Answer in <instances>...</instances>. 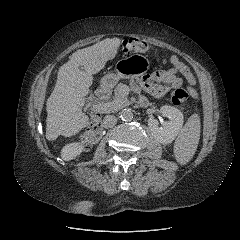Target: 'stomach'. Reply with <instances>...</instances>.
I'll return each mask as SVG.
<instances>
[{
	"instance_id": "0dacf381",
	"label": "stomach",
	"mask_w": 240,
	"mask_h": 240,
	"mask_svg": "<svg viewBox=\"0 0 240 240\" xmlns=\"http://www.w3.org/2000/svg\"><path fill=\"white\" fill-rule=\"evenodd\" d=\"M150 66L149 60L140 54H133L116 63L115 74H107L102 78L103 87L111 88L119 79H129L145 73Z\"/></svg>"
}]
</instances>
